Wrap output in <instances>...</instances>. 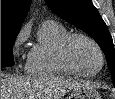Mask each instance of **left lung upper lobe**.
Here are the masks:
<instances>
[{
  "label": "left lung upper lobe",
  "mask_w": 115,
  "mask_h": 99,
  "mask_svg": "<svg viewBox=\"0 0 115 99\" xmlns=\"http://www.w3.org/2000/svg\"><path fill=\"white\" fill-rule=\"evenodd\" d=\"M50 9L89 34L101 47L115 86V51L112 37L91 0H45Z\"/></svg>",
  "instance_id": "obj_1"
}]
</instances>
